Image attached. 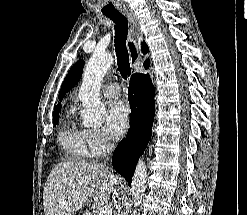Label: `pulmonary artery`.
<instances>
[{
	"instance_id": "e3ab8cb5",
	"label": "pulmonary artery",
	"mask_w": 247,
	"mask_h": 215,
	"mask_svg": "<svg viewBox=\"0 0 247 215\" xmlns=\"http://www.w3.org/2000/svg\"><path fill=\"white\" fill-rule=\"evenodd\" d=\"M102 93L108 98L118 97L121 93L120 86L116 83H108L102 88Z\"/></svg>"
}]
</instances>
